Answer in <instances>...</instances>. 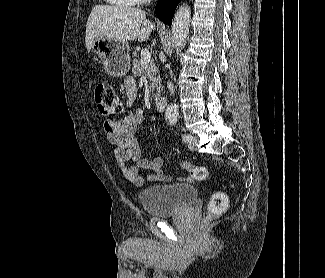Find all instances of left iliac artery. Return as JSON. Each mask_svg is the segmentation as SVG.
<instances>
[{
  "instance_id": "left-iliac-artery-1",
  "label": "left iliac artery",
  "mask_w": 325,
  "mask_h": 278,
  "mask_svg": "<svg viewBox=\"0 0 325 278\" xmlns=\"http://www.w3.org/2000/svg\"><path fill=\"white\" fill-rule=\"evenodd\" d=\"M182 139H183L184 142H190L192 140V136L188 135V134H184L182 136Z\"/></svg>"
}]
</instances>
